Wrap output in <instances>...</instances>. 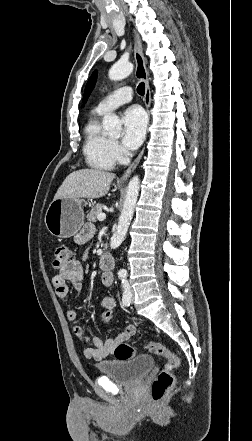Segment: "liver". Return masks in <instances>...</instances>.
Returning a JSON list of instances; mask_svg holds the SVG:
<instances>
[{
	"label": "liver",
	"instance_id": "obj_1",
	"mask_svg": "<svg viewBox=\"0 0 252 441\" xmlns=\"http://www.w3.org/2000/svg\"><path fill=\"white\" fill-rule=\"evenodd\" d=\"M115 174L99 169H80L70 173L59 187L57 198H101L105 196Z\"/></svg>",
	"mask_w": 252,
	"mask_h": 441
}]
</instances>
